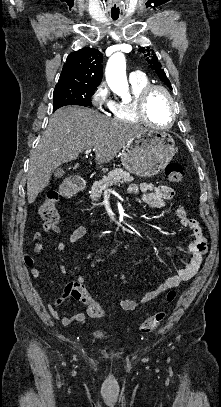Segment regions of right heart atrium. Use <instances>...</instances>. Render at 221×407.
Segmentation results:
<instances>
[{"mask_svg":"<svg viewBox=\"0 0 221 407\" xmlns=\"http://www.w3.org/2000/svg\"><path fill=\"white\" fill-rule=\"evenodd\" d=\"M92 105L101 112L111 111L114 100L110 95V90L105 82H101L91 95Z\"/></svg>","mask_w":221,"mask_h":407,"instance_id":"1","label":"right heart atrium"}]
</instances>
